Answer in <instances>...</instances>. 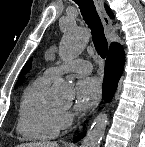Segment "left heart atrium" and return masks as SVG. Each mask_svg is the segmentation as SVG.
Returning a JSON list of instances; mask_svg holds the SVG:
<instances>
[{
  "instance_id": "39dd6f15",
  "label": "left heart atrium",
  "mask_w": 145,
  "mask_h": 147,
  "mask_svg": "<svg viewBox=\"0 0 145 147\" xmlns=\"http://www.w3.org/2000/svg\"><path fill=\"white\" fill-rule=\"evenodd\" d=\"M101 82L96 77H84L76 86V107L85 110L91 107L100 97Z\"/></svg>"
}]
</instances>
